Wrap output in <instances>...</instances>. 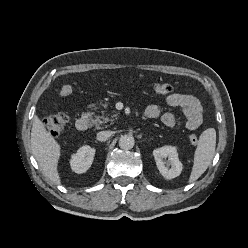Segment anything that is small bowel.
<instances>
[{"mask_svg": "<svg viewBox=\"0 0 248 248\" xmlns=\"http://www.w3.org/2000/svg\"><path fill=\"white\" fill-rule=\"evenodd\" d=\"M167 105L180 107L186 119L189 130L197 129L203 121V107L200 100L190 94L173 93L165 98ZM147 118H159L167 127L176 124V116L171 112H163L157 105H149L144 112Z\"/></svg>", "mask_w": 248, "mask_h": 248, "instance_id": "c3829d8e", "label": "small bowel"}]
</instances>
